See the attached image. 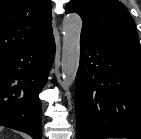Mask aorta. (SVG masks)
I'll list each match as a JSON object with an SVG mask.
<instances>
[{"mask_svg":"<svg viewBox=\"0 0 141 139\" xmlns=\"http://www.w3.org/2000/svg\"><path fill=\"white\" fill-rule=\"evenodd\" d=\"M81 17L76 13L67 14L63 20V47L61 69L63 88L73 85L80 61Z\"/></svg>","mask_w":141,"mask_h":139,"instance_id":"obj_1","label":"aorta"}]
</instances>
